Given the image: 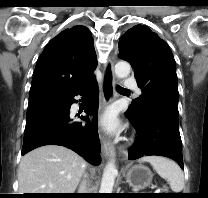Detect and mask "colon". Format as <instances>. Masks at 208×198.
Instances as JSON below:
<instances>
[{
    "instance_id": "1",
    "label": "colon",
    "mask_w": 208,
    "mask_h": 198,
    "mask_svg": "<svg viewBox=\"0 0 208 198\" xmlns=\"http://www.w3.org/2000/svg\"><path fill=\"white\" fill-rule=\"evenodd\" d=\"M159 190H161V191H163V192H167V191H168V188L163 187V188H160Z\"/></svg>"
}]
</instances>
